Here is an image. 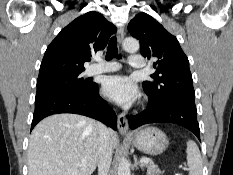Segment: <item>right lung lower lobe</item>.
Masks as SVG:
<instances>
[{
	"label": "right lung lower lobe",
	"mask_w": 233,
	"mask_h": 175,
	"mask_svg": "<svg viewBox=\"0 0 233 175\" xmlns=\"http://www.w3.org/2000/svg\"><path fill=\"white\" fill-rule=\"evenodd\" d=\"M58 113H75L97 119L117 129L116 114L98 93L96 83L80 92H48L35 98V111L31 129L43 118Z\"/></svg>",
	"instance_id": "right-lung-lower-lobe-1"
}]
</instances>
